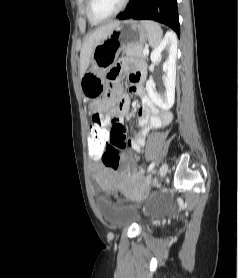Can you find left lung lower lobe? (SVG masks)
Returning <instances> with one entry per match:
<instances>
[{"label":"left lung lower lobe","instance_id":"obj_1","mask_svg":"<svg viewBox=\"0 0 238 278\" xmlns=\"http://www.w3.org/2000/svg\"><path fill=\"white\" fill-rule=\"evenodd\" d=\"M117 18L154 20L166 24L180 37L176 0H130L126 10Z\"/></svg>","mask_w":238,"mask_h":278}]
</instances>
